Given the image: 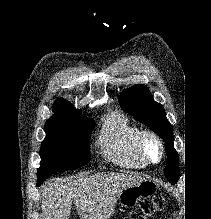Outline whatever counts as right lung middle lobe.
Instances as JSON below:
<instances>
[{"instance_id":"dd1d6c3e","label":"right lung middle lobe","mask_w":211,"mask_h":219,"mask_svg":"<svg viewBox=\"0 0 211 219\" xmlns=\"http://www.w3.org/2000/svg\"><path fill=\"white\" fill-rule=\"evenodd\" d=\"M94 126L93 120L82 116L47 120L37 185L53 173L75 169L89 162V137Z\"/></svg>"}]
</instances>
